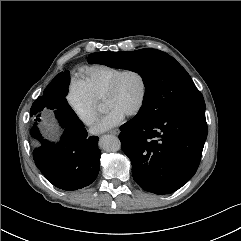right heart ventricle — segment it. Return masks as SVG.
I'll use <instances>...</instances> for the list:
<instances>
[{
  "label": "right heart ventricle",
  "instance_id": "1",
  "mask_svg": "<svg viewBox=\"0 0 241 241\" xmlns=\"http://www.w3.org/2000/svg\"><path fill=\"white\" fill-rule=\"evenodd\" d=\"M122 69L106 64H93L81 68V82L95 100L103 98L104 91L111 79Z\"/></svg>",
  "mask_w": 241,
  "mask_h": 241
}]
</instances>
